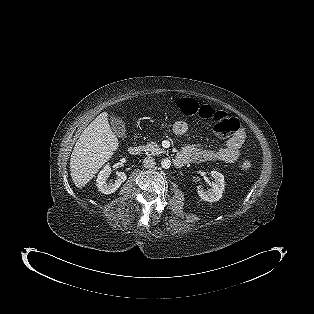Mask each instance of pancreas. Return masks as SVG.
Instances as JSON below:
<instances>
[{"label":"pancreas","instance_id":"pancreas-1","mask_svg":"<svg viewBox=\"0 0 314 314\" xmlns=\"http://www.w3.org/2000/svg\"><path fill=\"white\" fill-rule=\"evenodd\" d=\"M143 149L146 153V155H160L162 153H165V150L163 148H160V146L156 142H149L145 146H143Z\"/></svg>","mask_w":314,"mask_h":314}]
</instances>
